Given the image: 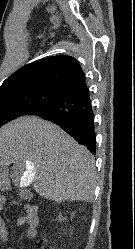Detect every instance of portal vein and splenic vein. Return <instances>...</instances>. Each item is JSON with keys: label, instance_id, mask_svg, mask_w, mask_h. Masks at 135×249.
<instances>
[{"label": "portal vein and splenic vein", "instance_id": "portal-vein-and-splenic-vein-1", "mask_svg": "<svg viewBox=\"0 0 135 249\" xmlns=\"http://www.w3.org/2000/svg\"><path fill=\"white\" fill-rule=\"evenodd\" d=\"M27 174H28L29 178H33V176L35 175V166L31 163L28 165Z\"/></svg>", "mask_w": 135, "mask_h": 249}]
</instances>
